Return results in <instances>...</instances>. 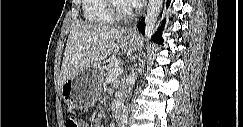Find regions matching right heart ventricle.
Instances as JSON below:
<instances>
[{"label":"right heart ventricle","instance_id":"right-heart-ventricle-1","mask_svg":"<svg viewBox=\"0 0 243 127\" xmlns=\"http://www.w3.org/2000/svg\"><path fill=\"white\" fill-rule=\"evenodd\" d=\"M83 16L87 23L103 25L114 22V17L108 10V0H83Z\"/></svg>","mask_w":243,"mask_h":127}]
</instances>
